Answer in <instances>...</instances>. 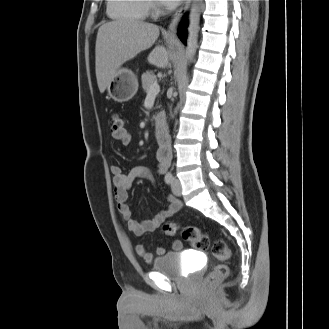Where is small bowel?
<instances>
[{"label": "small bowel", "instance_id": "c3829d8e", "mask_svg": "<svg viewBox=\"0 0 329 329\" xmlns=\"http://www.w3.org/2000/svg\"><path fill=\"white\" fill-rule=\"evenodd\" d=\"M113 137L120 143L121 146L127 147L132 143V135L128 131L120 136ZM168 167L166 161H159L156 166V170L159 174H163ZM112 181L114 188V196L117 203V207L122 218L127 222L128 229L133 234L141 236L145 232L156 230L167 218L172 217L181 208L182 203L176 197L167 196L168 206L165 210L158 213L150 220L136 221L132 219V212L127 205L128 192L132 186V183L136 179H145L154 183V178L148 167L143 165H137L132 167L128 172H124L121 166L115 164L111 166ZM172 249L179 251L182 249V243L179 240L172 242ZM136 253L147 263L153 261V255L147 250L146 246L139 242L135 245ZM166 250L159 246L156 249L157 255L164 254Z\"/></svg>", "mask_w": 329, "mask_h": 329}]
</instances>
